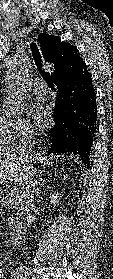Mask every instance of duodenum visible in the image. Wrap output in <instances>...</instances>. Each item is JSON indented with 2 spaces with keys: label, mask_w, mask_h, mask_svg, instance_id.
<instances>
[{
  "label": "duodenum",
  "mask_w": 113,
  "mask_h": 279,
  "mask_svg": "<svg viewBox=\"0 0 113 279\" xmlns=\"http://www.w3.org/2000/svg\"><path fill=\"white\" fill-rule=\"evenodd\" d=\"M21 227L20 226H16L12 229L11 233H10V242L13 245H17L20 238H21Z\"/></svg>",
  "instance_id": "obj_1"
}]
</instances>
